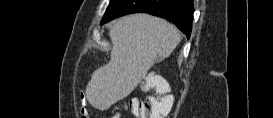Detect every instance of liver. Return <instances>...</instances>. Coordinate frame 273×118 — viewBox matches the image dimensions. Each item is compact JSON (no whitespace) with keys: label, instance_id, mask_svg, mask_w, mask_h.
<instances>
[{"label":"liver","instance_id":"obj_1","mask_svg":"<svg viewBox=\"0 0 273 118\" xmlns=\"http://www.w3.org/2000/svg\"><path fill=\"white\" fill-rule=\"evenodd\" d=\"M109 37L110 61L92 74L86 87L89 103L100 110L127 97L154 63L169 57L180 42L175 26L144 13L116 20Z\"/></svg>","mask_w":273,"mask_h":118}]
</instances>
